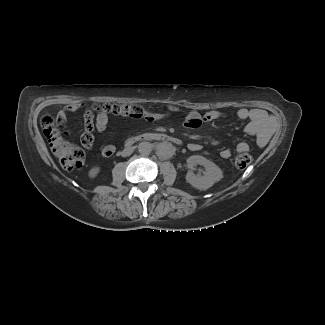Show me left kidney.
<instances>
[{
  "mask_svg": "<svg viewBox=\"0 0 325 325\" xmlns=\"http://www.w3.org/2000/svg\"><path fill=\"white\" fill-rule=\"evenodd\" d=\"M197 165L204 167L205 171L203 172V176L193 173L192 170ZM187 166L189 171L186 175V181L196 189L206 190L223 178L222 170L214 162L203 156H190L187 159Z\"/></svg>",
  "mask_w": 325,
  "mask_h": 325,
  "instance_id": "left-kidney-1",
  "label": "left kidney"
}]
</instances>
